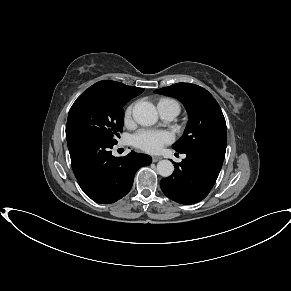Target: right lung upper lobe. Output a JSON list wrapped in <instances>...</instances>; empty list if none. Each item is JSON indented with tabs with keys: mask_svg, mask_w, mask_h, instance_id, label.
I'll return each instance as SVG.
<instances>
[{
	"mask_svg": "<svg viewBox=\"0 0 291 291\" xmlns=\"http://www.w3.org/2000/svg\"><path fill=\"white\" fill-rule=\"evenodd\" d=\"M92 87L104 89L114 96L128 99V100L139 95L140 93L144 91L143 88L127 86L120 82L107 81V80L100 81L92 85Z\"/></svg>",
	"mask_w": 291,
	"mask_h": 291,
	"instance_id": "cb5924a9",
	"label": "right lung upper lobe"
}]
</instances>
